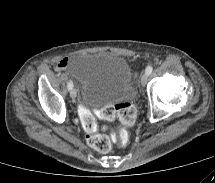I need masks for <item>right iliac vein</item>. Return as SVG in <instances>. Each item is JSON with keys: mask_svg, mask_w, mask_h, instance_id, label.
I'll return each instance as SVG.
<instances>
[{"mask_svg": "<svg viewBox=\"0 0 215 183\" xmlns=\"http://www.w3.org/2000/svg\"><path fill=\"white\" fill-rule=\"evenodd\" d=\"M76 95H77L76 89L72 88L71 91H70V97H71L73 100H75Z\"/></svg>", "mask_w": 215, "mask_h": 183, "instance_id": "63e3f726", "label": "right iliac vein"}]
</instances>
